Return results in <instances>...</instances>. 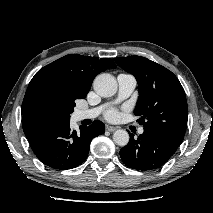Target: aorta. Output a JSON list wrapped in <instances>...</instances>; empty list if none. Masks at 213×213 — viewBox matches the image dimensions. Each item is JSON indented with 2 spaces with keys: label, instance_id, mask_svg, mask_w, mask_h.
<instances>
[{
  "label": "aorta",
  "instance_id": "1",
  "mask_svg": "<svg viewBox=\"0 0 213 213\" xmlns=\"http://www.w3.org/2000/svg\"><path fill=\"white\" fill-rule=\"evenodd\" d=\"M93 87L98 95L102 97H111L117 91V81L112 75L103 73L95 78ZM129 138L128 132L123 129H119L113 134L114 142L122 147L128 144Z\"/></svg>",
  "mask_w": 213,
  "mask_h": 213
}]
</instances>
